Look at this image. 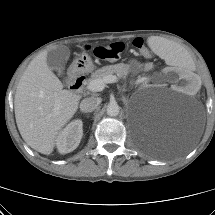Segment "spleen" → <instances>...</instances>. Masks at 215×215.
Segmentation results:
<instances>
[{
  "label": "spleen",
  "instance_id": "3e777b00",
  "mask_svg": "<svg viewBox=\"0 0 215 215\" xmlns=\"http://www.w3.org/2000/svg\"><path fill=\"white\" fill-rule=\"evenodd\" d=\"M147 45L157 58L168 65L184 70H189L193 66V60L186 49L171 40L151 36L147 40Z\"/></svg>",
  "mask_w": 215,
  "mask_h": 215
}]
</instances>
